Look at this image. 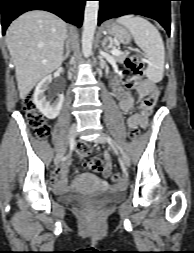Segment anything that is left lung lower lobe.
Listing matches in <instances>:
<instances>
[{
    "label": "left lung lower lobe",
    "instance_id": "1",
    "mask_svg": "<svg viewBox=\"0 0 194 253\" xmlns=\"http://www.w3.org/2000/svg\"><path fill=\"white\" fill-rule=\"evenodd\" d=\"M98 24L126 14H139L158 21L170 35V1L172 0H99Z\"/></svg>",
    "mask_w": 194,
    "mask_h": 253
}]
</instances>
